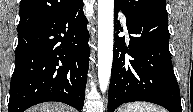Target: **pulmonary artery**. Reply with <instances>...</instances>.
Wrapping results in <instances>:
<instances>
[{
	"instance_id": "pulmonary-artery-1",
	"label": "pulmonary artery",
	"mask_w": 193,
	"mask_h": 112,
	"mask_svg": "<svg viewBox=\"0 0 193 112\" xmlns=\"http://www.w3.org/2000/svg\"><path fill=\"white\" fill-rule=\"evenodd\" d=\"M121 21L125 24L126 23V17L123 14H120Z\"/></svg>"
}]
</instances>
